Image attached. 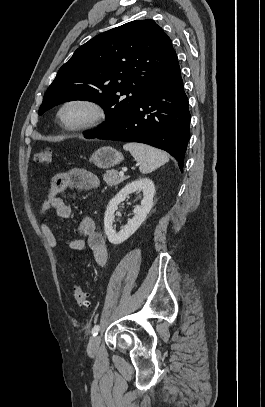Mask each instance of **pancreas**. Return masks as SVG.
I'll list each match as a JSON object with an SVG mask.
<instances>
[{"mask_svg":"<svg viewBox=\"0 0 265 407\" xmlns=\"http://www.w3.org/2000/svg\"><path fill=\"white\" fill-rule=\"evenodd\" d=\"M125 179L126 177L120 176L118 172L114 170L107 171L103 176V180L109 186H116L119 183L123 182Z\"/></svg>","mask_w":265,"mask_h":407,"instance_id":"cf45deb5","label":"pancreas"}]
</instances>
